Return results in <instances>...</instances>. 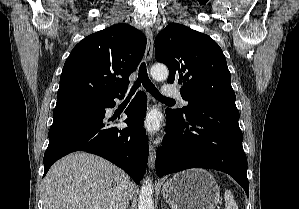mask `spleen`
Returning <instances> with one entry per match:
<instances>
[{"mask_svg":"<svg viewBox=\"0 0 299 209\" xmlns=\"http://www.w3.org/2000/svg\"><path fill=\"white\" fill-rule=\"evenodd\" d=\"M224 199H225L226 209H238V206L235 200L233 199V195L229 190L225 191Z\"/></svg>","mask_w":299,"mask_h":209,"instance_id":"1","label":"spleen"}]
</instances>
